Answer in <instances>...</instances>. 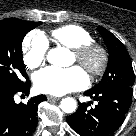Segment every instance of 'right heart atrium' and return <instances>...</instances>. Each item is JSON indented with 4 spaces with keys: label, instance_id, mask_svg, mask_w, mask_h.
I'll use <instances>...</instances> for the list:
<instances>
[{
    "label": "right heart atrium",
    "instance_id": "d8ad5b80",
    "mask_svg": "<svg viewBox=\"0 0 136 136\" xmlns=\"http://www.w3.org/2000/svg\"><path fill=\"white\" fill-rule=\"evenodd\" d=\"M49 43L39 31L30 32L23 40V62L29 69L39 67L45 60Z\"/></svg>",
    "mask_w": 136,
    "mask_h": 136
}]
</instances>
